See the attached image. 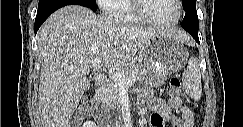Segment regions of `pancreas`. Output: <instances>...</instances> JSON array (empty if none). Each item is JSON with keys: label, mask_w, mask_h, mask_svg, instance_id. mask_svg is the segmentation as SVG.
<instances>
[{"label": "pancreas", "mask_w": 243, "mask_h": 127, "mask_svg": "<svg viewBox=\"0 0 243 127\" xmlns=\"http://www.w3.org/2000/svg\"><path fill=\"white\" fill-rule=\"evenodd\" d=\"M120 72L124 73L126 78H128L132 73H134L137 80L144 79L145 72L134 62L126 64L119 69ZM122 86L119 85L113 78H110L102 89L99 99L110 109H120V93Z\"/></svg>", "instance_id": "pancreas-1"}]
</instances>
